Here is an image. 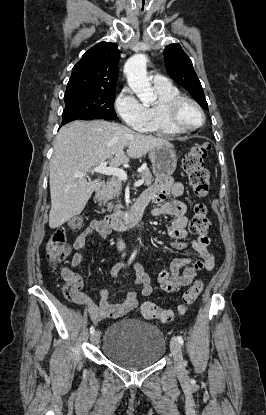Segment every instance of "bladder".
<instances>
[{"mask_svg":"<svg viewBox=\"0 0 266 415\" xmlns=\"http://www.w3.org/2000/svg\"><path fill=\"white\" fill-rule=\"evenodd\" d=\"M165 351L163 332L156 325L137 318L112 323L102 343V352L107 359L130 370L154 365Z\"/></svg>","mask_w":266,"mask_h":415,"instance_id":"obj_1","label":"bladder"}]
</instances>
